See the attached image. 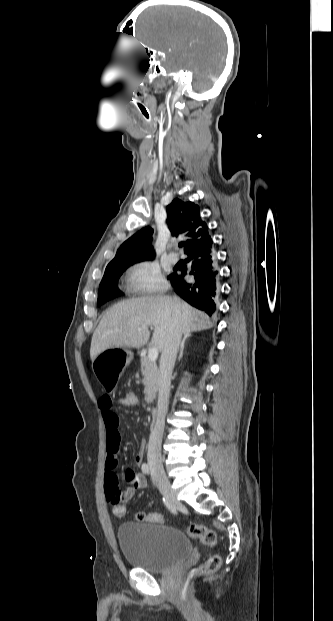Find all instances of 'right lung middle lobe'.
I'll list each match as a JSON object with an SVG mask.
<instances>
[{
    "label": "right lung middle lobe",
    "instance_id": "obj_1",
    "mask_svg": "<svg viewBox=\"0 0 333 621\" xmlns=\"http://www.w3.org/2000/svg\"><path fill=\"white\" fill-rule=\"evenodd\" d=\"M134 263L120 264L116 266L106 267L104 276L100 283L98 291L97 305L100 306L105 302L120 297L123 293L118 288V279L122 273Z\"/></svg>",
    "mask_w": 333,
    "mask_h": 621
}]
</instances>
